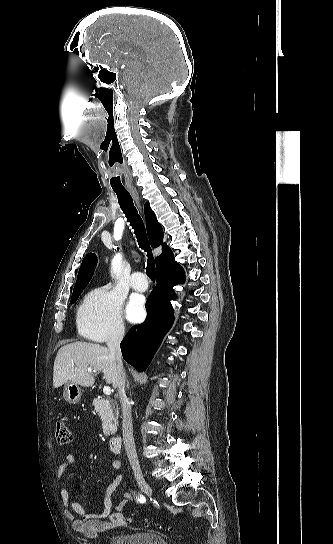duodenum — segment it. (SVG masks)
Segmentation results:
<instances>
[{
  "instance_id": "duodenum-1",
  "label": "duodenum",
  "mask_w": 333,
  "mask_h": 544,
  "mask_svg": "<svg viewBox=\"0 0 333 544\" xmlns=\"http://www.w3.org/2000/svg\"><path fill=\"white\" fill-rule=\"evenodd\" d=\"M109 447L112 453L119 454L122 450V436L120 434L113 435L110 438Z\"/></svg>"
}]
</instances>
